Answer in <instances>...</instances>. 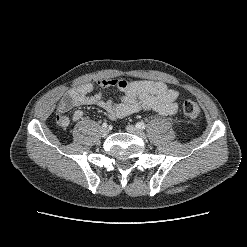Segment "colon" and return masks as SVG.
Segmentation results:
<instances>
[{
	"label": "colon",
	"instance_id": "obj_1",
	"mask_svg": "<svg viewBox=\"0 0 247 247\" xmlns=\"http://www.w3.org/2000/svg\"><path fill=\"white\" fill-rule=\"evenodd\" d=\"M184 115L190 119H196L200 114V108L197 103L191 100H184L182 103Z\"/></svg>",
	"mask_w": 247,
	"mask_h": 247
}]
</instances>
